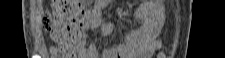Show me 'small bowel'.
<instances>
[{"instance_id":"obj_1","label":"small bowel","mask_w":225,"mask_h":58,"mask_svg":"<svg viewBox=\"0 0 225 58\" xmlns=\"http://www.w3.org/2000/svg\"><path fill=\"white\" fill-rule=\"evenodd\" d=\"M111 0H96L87 8L83 15L82 37L76 45L78 58H131V53L150 54L159 47L157 39L163 21L164 7L159 4L148 5L145 8L147 20L141 27L142 39L132 45H119L106 47L99 52L100 41L110 35L117 27L115 22H108L103 17V10L110 4ZM128 21L120 23L125 26ZM91 31H97L98 37L88 46V37Z\"/></svg>"}]
</instances>
